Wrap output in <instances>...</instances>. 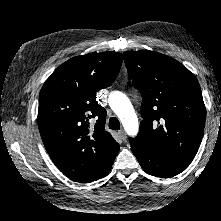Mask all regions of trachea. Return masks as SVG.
Listing matches in <instances>:
<instances>
[{"label":"trachea","instance_id":"trachea-1","mask_svg":"<svg viewBox=\"0 0 221 221\" xmlns=\"http://www.w3.org/2000/svg\"><path fill=\"white\" fill-rule=\"evenodd\" d=\"M109 128L112 130H119L120 129V122L116 117H111L109 119Z\"/></svg>","mask_w":221,"mask_h":221}]
</instances>
